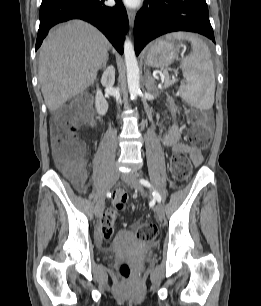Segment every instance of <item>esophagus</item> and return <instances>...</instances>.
I'll return each instance as SVG.
<instances>
[{
    "instance_id": "esophagus-1",
    "label": "esophagus",
    "mask_w": 261,
    "mask_h": 306,
    "mask_svg": "<svg viewBox=\"0 0 261 306\" xmlns=\"http://www.w3.org/2000/svg\"><path fill=\"white\" fill-rule=\"evenodd\" d=\"M127 15H128V19H129V24L132 27L133 24H134V20H135V13L132 10H128Z\"/></svg>"
}]
</instances>
